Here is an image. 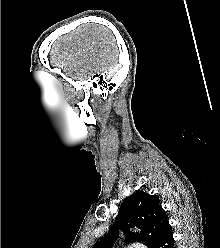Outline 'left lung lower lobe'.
<instances>
[{
	"mask_svg": "<svg viewBox=\"0 0 220 248\" xmlns=\"http://www.w3.org/2000/svg\"><path fill=\"white\" fill-rule=\"evenodd\" d=\"M154 248H174V239L170 225L165 228L163 234L161 235L158 243L154 246Z\"/></svg>",
	"mask_w": 220,
	"mask_h": 248,
	"instance_id": "left-lung-lower-lobe-1",
	"label": "left lung lower lobe"
}]
</instances>
